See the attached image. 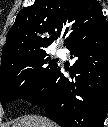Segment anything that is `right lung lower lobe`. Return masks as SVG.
Returning a JSON list of instances; mask_svg holds the SVG:
<instances>
[{
    "label": "right lung lower lobe",
    "instance_id": "1",
    "mask_svg": "<svg viewBox=\"0 0 108 127\" xmlns=\"http://www.w3.org/2000/svg\"><path fill=\"white\" fill-rule=\"evenodd\" d=\"M72 80L60 67L45 85L24 100L44 105L62 127H102L108 105V23L103 17L68 45Z\"/></svg>",
    "mask_w": 108,
    "mask_h": 127
}]
</instances>
